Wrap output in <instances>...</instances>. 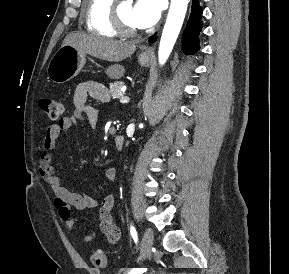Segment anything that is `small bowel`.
<instances>
[{"mask_svg": "<svg viewBox=\"0 0 289 274\" xmlns=\"http://www.w3.org/2000/svg\"><path fill=\"white\" fill-rule=\"evenodd\" d=\"M106 87L94 81L80 83L75 91L73 103L74 109L70 116L63 117L56 123L51 124L46 132L39 161V171L44 181L51 187L54 193V206L61 220L65 222L69 230L74 229L77 219L72 214V208L83 211L99 208L100 229L111 244L120 239V229L113 215L114 196H106L101 202L86 193L72 192L61 185L59 176L54 167V154L58 138L67 132L77 121L87 120L94 128L98 121V111L89 100L104 101L108 99ZM117 176V170L109 167L105 171L106 180L113 183ZM95 233H89L82 238L85 243L94 241Z\"/></svg>", "mask_w": 289, "mask_h": 274, "instance_id": "1", "label": "small bowel"}]
</instances>
